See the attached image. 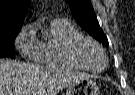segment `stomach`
Returning a JSON list of instances; mask_svg holds the SVG:
<instances>
[{
    "label": "stomach",
    "mask_w": 135,
    "mask_h": 95,
    "mask_svg": "<svg viewBox=\"0 0 135 95\" xmlns=\"http://www.w3.org/2000/svg\"><path fill=\"white\" fill-rule=\"evenodd\" d=\"M99 88L92 79L85 78L70 85L66 95H99Z\"/></svg>",
    "instance_id": "stomach-1"
}]
</instances>
